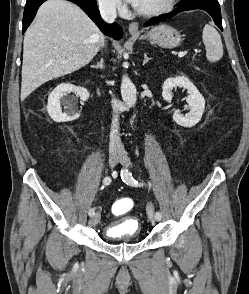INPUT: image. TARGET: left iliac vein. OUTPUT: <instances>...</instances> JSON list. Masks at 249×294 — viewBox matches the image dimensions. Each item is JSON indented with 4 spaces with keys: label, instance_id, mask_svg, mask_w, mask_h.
Masks as SVG:
<instances>
[{
    "label": "left iliac vein",
    "instance_id": "obj_1",
    "mask_svg": "<svg viewBox=\"0 0 249 294\" xmlns=\"http://www.w3.org/2000/svg\"><path fill=\"white\" fill-rule=\"evenodd\" d=\"M118 161L122 163L123 165H131V161L127 154L124 151H120ZM147 214L149 217V220L154 225L155 224V217H154V206L152 203H149L147 205Z\"/></svg>",
    "mask_w": 249,
    "mask_h": 294
}]
</instances>
